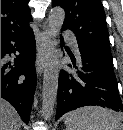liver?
I'll return each instance as SVG.
<instances>
[{"instance_id":"liver-1","label":"liver","mask_w":123,"mask_h":130,"mask_svg":"<svg viewBox=\"0 0 123 130\" xmlns=\"http://www.w3.org/2000/svg\"><path fill=\"white\" fill-rule=\"evenodd\" d=\"M21 118L9 102L1 98V130H20Z\"/></svg>"}]
</instances>
